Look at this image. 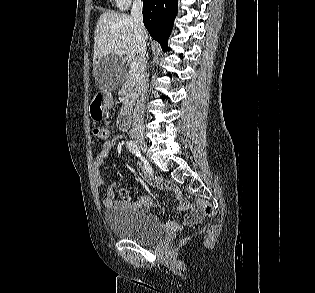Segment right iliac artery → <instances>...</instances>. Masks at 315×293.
<instances>
[{
  "label": "right iliac artery",
  "instance_id": "right-iliac-artery-1",
  "mask_svg": "<svg viewBox=\"0 0 315 293\" xmlns=\"http://www.w3.org/2000/svg\"><path fill=\"white\" fill-rule=\"evenodd\" d=\"M127 148L129 149L130 152H132L133 154H135L137 157H140V150L136 144V142L129 140L127 141Z\"/></svg>",
  "mask_w": 315,
  "mask_h": 293
}]
</instances>
